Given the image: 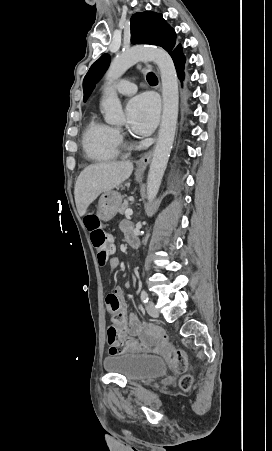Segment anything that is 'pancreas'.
<instances>
[{
    "instance_id": "pancreas-1",
    "label": "pancreas",
    "mask_w": 272,
    "mask_h": 451,
    "mask_svg": "<svg viewBox=\"0 0 272 451\" xmlns=\"http://www.w3.org/2000/svg\"><path fill=\"white\" fill-rule=\"evenodd\" d=\"M128 208H129L128 200H124V204H122V206H120L118 210L119 214H125V210H128Z\"/></svg>"
}]
</instances>
